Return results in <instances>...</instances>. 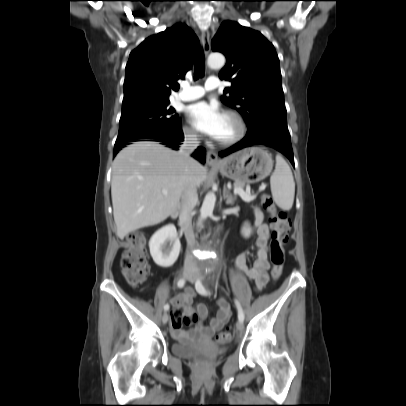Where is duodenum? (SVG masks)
I'll return each mask as SVG.
<instances>
[{
  "mask_svg": "<svg viewBox=\"0 0 406 406\" xmlns=\"http://www.w3.org/2000/svg\"><path fill=\"white\" fill-rule=\"evenodd\" d=\"M177 216H178V212H177V211L172 214V218H173V219H175Z\"/></svg>",
  "mask_w": 406,
  "mask_h": 406,
  "instance_id": "1",
  "label": "duodenum"
}]
</instances>
